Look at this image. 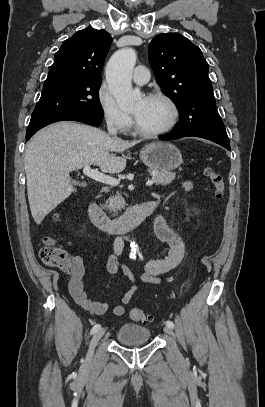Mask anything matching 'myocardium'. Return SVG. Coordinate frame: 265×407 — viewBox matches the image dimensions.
<instances>
[{"label": "myocardium", "instance_id": "obj_1", "mask_svg": "<svg viewBox=\"0 0 265 407\" xmlns=\"http://www.w3.org/2000/svg\"><path fill=\"white\" fill-rule=\"evenodd\" d=\"M145 99L161 100V101L165 102L170 108L171 118H170L168 124L166 126H164L163 128H161L159 130H155V131H146V130H143L138 127V125L135 121V118L133 117L132 118L133 131L137 135L144 137V138H156V137H160L165 134H168L170 131H172L174 129V127L178 123L179 116H180L178 105L170 96H168L167 94L162 93V92L150 93L145 96Z\"/></svg>", "mask_w": 265, "mask_h": 407}]
</instances>
